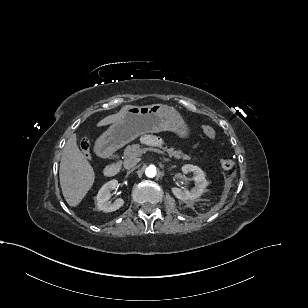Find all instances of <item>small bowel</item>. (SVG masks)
<instances>
[{
	"mask_svg": "<svg viewBox=\"0 0 308 308\" xmlns=\"http://www.w3.org/2000/svg\"><path fill=\"white\" fill-rule=\"evenodd\" d=\"M142 142L149 145H159L161 139L154 135H145L142 137Z\"/></svg>",
	"mask_w": 308,
	"mask_h": 308,
	"instance_id": "small-bowel-1",
	"label": "small bowel"
}]
</instances>
